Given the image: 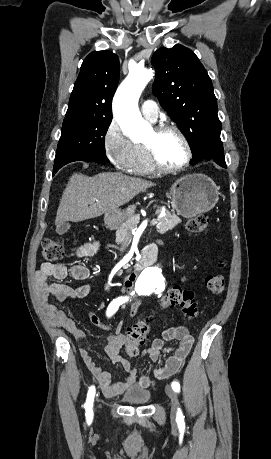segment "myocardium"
Wrapping results in <instances>:
<instances>
[{
  "label": "myocardium",
  "instance_id": "myocardium-1",
  "mask_svg": "<svg viewBox=\"0 0 271 459\" xmlns=\"http://www.w3.org/2000/svg\"><path fill=\"white\" fill-rule=\"evenodd\" d=\"M168 131H173L182 138L186 146V150H187L186 158L182 162L177 163V164H167L160 158L156 146L152 143L145 142L144 144L148 151V155L152 163L154 164V166L161 171L176 172V171L183 170L192 163L193 158H194V151H193L191 141L189 137L187 136V134L182 130V128H180L175 123H161L158 126H156L153 130L157 138L162 136L164 133Z\"/></svg>",
  "mask_w": 271,
  "mask_h": 459
}]
</instances>
